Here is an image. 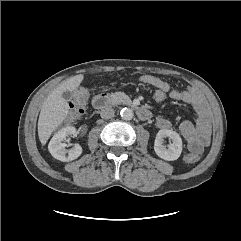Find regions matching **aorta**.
<instances>
[{
  "instance_id": "1",
  "label": "aorta",
  "mask_w": 241,
  "mask_h": 241,
  "mask_svg": "<svg viewBox=\"0 0 241 241\" xmlns=\"http://www.w3.org/2000/svg\"><path fill=\"white\" fill-rule=\"evenodd\" d=\"M120 114H121V117L127 121L131 120L134 116L133 110L130 108H123Z\"/></svg>"
}]
</instances>
